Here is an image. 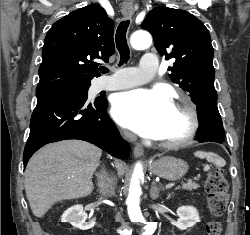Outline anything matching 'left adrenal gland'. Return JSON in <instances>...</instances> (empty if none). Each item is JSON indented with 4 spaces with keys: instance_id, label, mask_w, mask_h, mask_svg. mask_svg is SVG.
Returning <instances> with one entry per match:
<instances>
[{
    "instance_id": "a2214340",
    "label": "left adrenal gland",
    "mask_w": 250,
    "mask_h": 235,
    "mask_svg": "<svg viewBox=\"0 0 250 235\" xmlns=\"http://www.w3.org/2000/svg\"><path fill=\"white\" fill-rule=\"evenodd\" d=\"M162 188L158 187L155 182H152L150 196L152 200L159 198V194Z\"/></svg>"
}]
</instances>
